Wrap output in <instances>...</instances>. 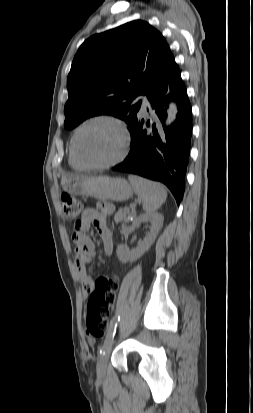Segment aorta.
I'll use <instances>...</instances> for the list:
<instances>
[{"label": "aorta", "mask_w": 253, "mask_h": 413, "mask_svg": "<svg viewBox=\"0 0 253 413\" xmlns=\"http://www.w3.org/2000/svg\"><path fill=\"white\" fill-rule=\"evenodd\" d=\"M167 112H168V120H167V122L170 123V122H172V121L175 119L176 114H177L176 104L172 102V103L169 105V109L167 110Z\"/></svg>", "instance_id": "obj_1"}]
</instances>
